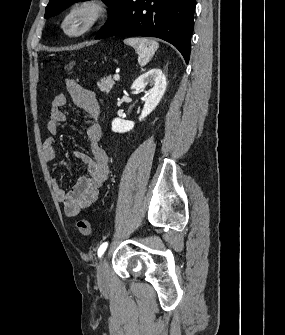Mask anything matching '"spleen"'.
<instances>
[{
	"mask_svg": "<svg viewBox=\"0 0 285 335\" xmlns=\"http://www.w3.org/2000/svg\"><path fill=\"white\" fill-rule=\"evenodd\" d=\"M124 44L135 48L139 66H146L159 48L158 42H155L153 38H127Z\"/></svg>",
	"mask_w": 285,
	"mask_h": 335,
	"instance_id": "obj_1",
	"label": "spleen"
}]
</instances>
